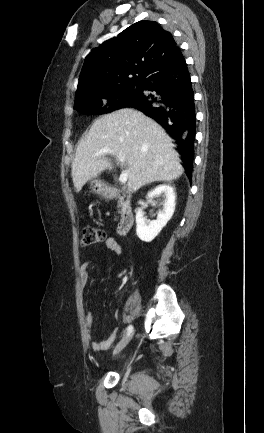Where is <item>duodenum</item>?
Returning a JSON list of instances; mask_svg holds the SVG:
<instances>
[{
  "label": "duodenum",
  "instance_id": "1",
  "mask_svg": "<svg viewBox=\"0 0 264 433\" xmlns=\"http://www.w3.org/2000/svg\"><path fill=\"white\" fill-rule=\"evenodd\" d=\"M104 196L110 200H118L122 204V215L118 224V234H127L134 224V211L131 203V195L128 191L115 188H107L103 192Z\"/></svg>",
  "mask_w": 264,
  "mask_h": 433
}]
</instances>
